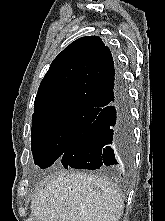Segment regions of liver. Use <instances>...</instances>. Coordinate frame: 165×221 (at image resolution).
Instances as JSON below:
<instances>
[{
	"instance_id": "liver-1",
	"label": "liver",
	"mask_w": 165,
	"mask_h": 221,
	"mask_svg": "<svg viewBox=\"0 0 165 221\" xmlns=\"http://www.w3.org/2000/svg\"><path fill=\"white\" fill-rule=\"evenodd\" d=\"M123 200L107 178L60 170L40 186L31 201L38 221H118Z\"/></svg>"
}]
</instances>
